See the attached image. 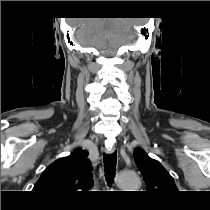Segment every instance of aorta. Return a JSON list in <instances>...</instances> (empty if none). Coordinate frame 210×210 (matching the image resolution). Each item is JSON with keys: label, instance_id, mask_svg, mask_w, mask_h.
Listing matches in <instances>:
<instances>
[{"label": "aorta", "instance_id": "aorta-1", "mask_svg": "<svg viewBox=\"0 0 210 210\" xmlns=\"http://www.w3.org/2000/svg\"><path fill=\"white\" fill-rule=\"evenodd\" d=\"M118 186L125 191H133L141 185L140 178L135 173L122 172L117 178Z\"/></svg>", "mask_w": 210, "mask_h": 210}]
</instances>
